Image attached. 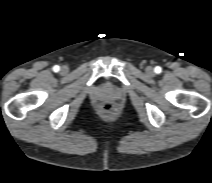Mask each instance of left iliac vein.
Listing matches in <instances>:
<instances>
[{
  "label": "left iliac vein",
  "mask_w": 212,
  "mask_h": 183,
  "mask_svg": "<svg viewBox=\"0 0 212 183\" xmlns=\"http://www.w3.org/2000/svg\"><path fill=\"white\" fill-rule=\"evenodd\" d=\"M145 71H146V74L149 76L154 75V69L151 66H148Z\"/></svg>",
  "instance_id": "1"
}]
</instances>
